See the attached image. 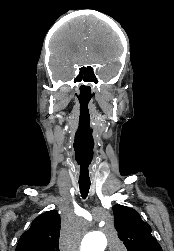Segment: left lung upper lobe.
<instances>
[{
    "label": "left lung upper lobe",
    "mask_w": 174,
    "mask_h": 251,
    "mask_svg": "<svg viewBox=\"0 0 174 251\" xmlns=\"http://www.w3.org/2000/svg\"><path fill=\"white\" fill-rule=\"evenodd\" d=\"M115 228L128 251H162L151 234V227L142 221L137 211L119 204L114 205Z\"/></svg>",
    "instance_id": "5c2ea615"
}]
</instances>
